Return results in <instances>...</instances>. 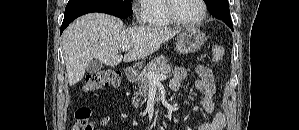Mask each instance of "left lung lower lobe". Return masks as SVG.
Segmentation results:
<instances>
[{"label": "left lung lower lobe", "instance_id": "0a47b994", "mask_svg": "<svg viewBox=\"0 0 299 130\" xmlns=\"http://www.w3.org/2000/svg\"><path fill=\"white\" fill-rule=\"evenodd\" d=\"M213 16L215 18H217V19H220V20L224 21L233 30V25H232L231 17L225 18V17H221L219 15H213Z\"/></svg>", "mask_w": 299, "mask_h": 130}]
</instances>
